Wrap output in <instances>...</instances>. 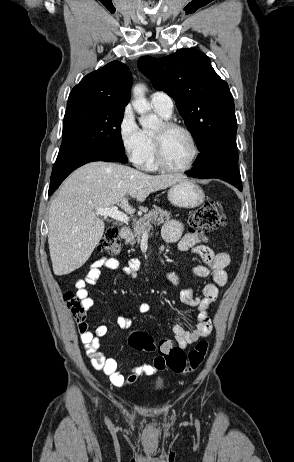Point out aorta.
Here are the masks:
<instances>
[{
  "instance_id": "1",
  "label": "aorta",
  "mask_w": 294,
  "mask_h": 462,
  "mask_svg": "<svg viewBox=\"0 0 294 462\" xmlns=\"http://www.w3.org/2000/svg\"><path fill=\"white\" fill-rule=\"evenodd\" d=\"M146 87L144 85H136L133 88L134 100L132 105L136 112L141 116L139 122L143 128L156 129L159 126V119L156 115L150 113L151 106L145 98Z\"/></svg>"
}]
</instances>
